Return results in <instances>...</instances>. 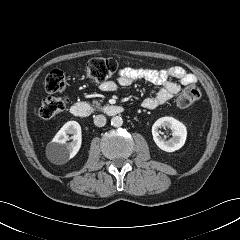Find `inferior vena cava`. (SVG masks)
Masks as SVG:
<instances>
[{
    "label": "inferior vena cava",
    "instance_id": "1",
    "mask_svg": "<svg viewBox=\"0 0 240 240\" xmlns=\"http://www.w3.org/2000/svg\"><path fill=\"white\" fill-rule=\"evenodd\" d=\"M94 124L97 127H103L106 124V118L104 115H96L94 117Z\"/></svg>",
    "mask_w": 240,
    "mask_h": 240
}]
</instances>
